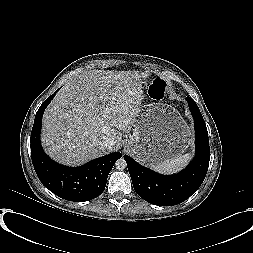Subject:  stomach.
<instances>
[{
    "mask_svg": "<svg viewBox=\"0 0 253 253\" xmlns=\"http://www.w3.org/2000/svg\"><path fill=\"white\" fill-rule=\"evenodd\" d=\"M133 134L125 147L147 166L176 158L188 148L191 130L178 111L167 103L153 102L140 107Z\"/></svg>",
    "mask_w": 253,
    "mask_h": 253,
    "instance_id": "1",
    "label": "stomach"
}]
</instances>
